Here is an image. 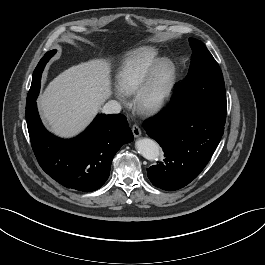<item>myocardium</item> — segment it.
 I'll use <instances>...</instances> for the list:
<instances>
[{
  "label": "myocardium",
  "instance_id": "1",
  "mask_svg": "<svg viewBox=\"0 0 265 265\" xmlns=\"http://www.w3.org/2000/svg\"><path fill=\"white\" fill-rule=\"evenodd\" d=\"M176 83V67L170 59H159L135 92V106L143 114H156L169 103Z\"/></svg>",
  "mask_w": 265,
  "mask_h": 265
}]
</instances>
